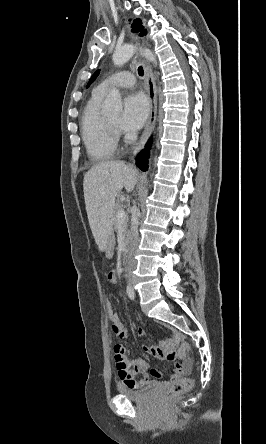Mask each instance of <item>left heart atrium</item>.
<instances>
[{
	"label": "left heart atrium",
	"mask_w": 266,
	"mask_h": 444,
	"mask_svg": "<svg viewBox=\"0 0 266 444\" xmlns=\"http://www.w3.org/2000/svg\"><path fill=\"white\" fill-rule=\"evenodd\" d=\"M148 113L149 104L146 97L141 93L131 94L124 101L119 126L125 131H136L144 125Z\"/></svg>",
	"instance_id": "left-heart-atrium-1"
}]
</instances>
